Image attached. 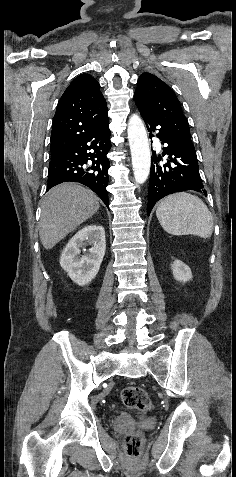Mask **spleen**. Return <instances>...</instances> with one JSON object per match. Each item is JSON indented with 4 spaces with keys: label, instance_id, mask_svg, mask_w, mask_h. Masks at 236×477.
Masks as SVG:
<instances>
[{
    "label": "spleen",
    "instance_id": "3e777b00",
    "mask_svg": "<svg viewBox=\"0 0 236 477\" xmlns=\"http://www.w3.org/2000/svg\"><path fill=\"white\" fill-rule=\"evenodd\" d=\"M156 216L162 228L172 235L193 234L210 238L214 223L206 204L197 196L181 192L166 197Z\"/></svg>",
    "mask_w": 236,
    "mask_h": 477
}]
</instances>
